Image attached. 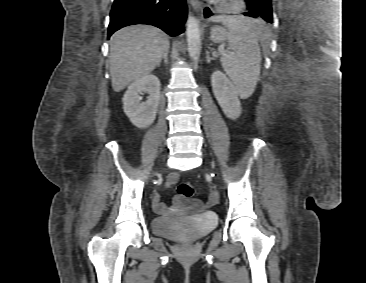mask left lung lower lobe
I'll return each instance as SVG.
<instances>
[{
    "instance_id": "left-lung-lower-lobe-1",
    "label": "left lung lower lobe",
    "mask_w": 366,
    "mask_h": 283,
    "mask_svg": "<svg viewBox=\"0 0 366 283\" xmlns=\"http://www.w3.org/2000/svg\"><path fill=\"white\" fill-rule=\"evenodd\" d=\"M246 2V5H247V9L249 10L248 12H246V13H243V15H245V16H249V17H253V18H259V14H257V13H255V12H253L252 11V8H251V6H250V4L247 2V1H245ZM211 16H214V13H212L211 12V10L209 9V8H205L204 9V17L205 18H209V17H211Z\"/></svg>"
}]
</instances>
